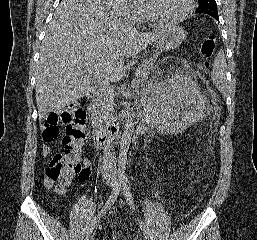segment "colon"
<instances>
[{"mask_svg": "<svg viewBox=\"0 0 257 240\" xmlns=\"http://www.w3.org/2000/svg\"><path fill=\"white\" fill-rule=\"evenodd\" d=\"M216 39L206 36L202 39L198 53L204 62V68L209 70L214 55ZM86 112L79 104H74L62 112L50 113L44 122V137L53 141L59 136V127H65L62 138L63 151L56 153L50 160L45 171V182L58 191L66 190L73 179L86 175V169L81 164V152L85 142Z\"/></svg>", "mask_w": 257, "mask_h": 240, "instance_id": "1", "label": "colon"}]
</instances>
